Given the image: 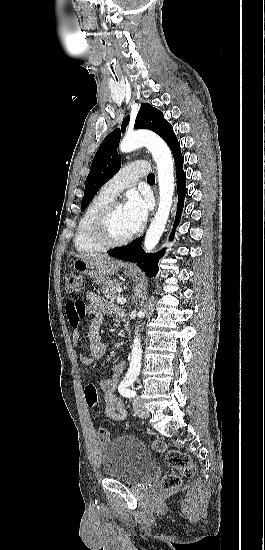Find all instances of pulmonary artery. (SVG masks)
I'll use <instances>...</instances> for the list:
<instances>
[{
    "instance_id": "obj_1",
    "label": "pulmonary artery",
    "mask_w": 265,
    "mask_h": 550,
    "mask_svg": "<svg viewBox=\"0 0 265 550\" xmlns=\"http://www.w3.org/2000/svg\"><path fill=\"white\" fill-rule=\"evenodd\" d=\"M148 170L146 161H135L122 167V169L102 187V191L115 198L122 190L136 184Z\"/></svg>"
}]
</instances>
